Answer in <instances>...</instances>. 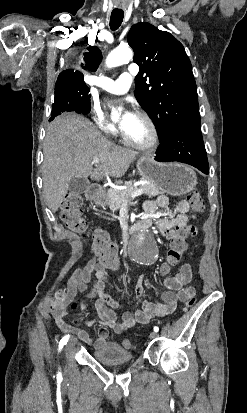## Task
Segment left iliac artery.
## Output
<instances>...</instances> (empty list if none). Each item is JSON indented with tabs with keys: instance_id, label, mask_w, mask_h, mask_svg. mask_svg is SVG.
<instances>
[{
	"instance_id": "left-iliac-artery-1",
	"label": "left iliac artery",
	"mask_w": 247,
	"mask_h": 413,
	"mask_svg": "<svg viewBox=\"0 0 247 413\" xmlns=\"http://www.w3.org/2000/svg\"><path fill=\"white\" fill-rule=\"evenodd\" d=\"M154 331H155V332H158V331H159V328H158L157 326H155V327H154Z\"/></svg>"
}]
</instances>
